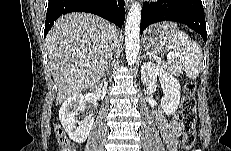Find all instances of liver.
<instances>
[{"mask_svg":"<svg viewBox=\"0 0 231 151\" xmlns=\"http://www.w3.org/2000/svg\"><path fill=\"white\" fill-rule=\"evenodd\" d=\"M115 30L103 18L88 13H70L54 23L46 45L57 104L95 86L103 77ZM115 36L117 40V30Z\"/></svg>","mask_w":231,"mask_h":151,"instance_id":"1","label":"liver"}]
</instances>
